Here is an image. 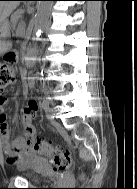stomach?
I'll return each mask as SVG.
<instances>
[{"instance_id":"1","label":"stomach","mask_w":137,"mask_h":189,"mask_svg":"<svg viewBox=\"0 0 137 189\" xmlns=\"http://www.w3.org/2000/svg\"><path fill=\"white\" fill-rule=\"evenodd\" d=\"M8 31H9V24L6 21L2 29L0 28V53L5 52L10 46V43L6 40L7 36L9 35Z\"/></svg>"}]
</instances>
